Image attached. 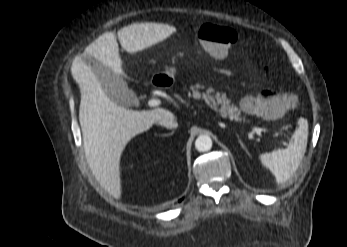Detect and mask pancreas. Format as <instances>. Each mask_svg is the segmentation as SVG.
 Here are the masks:
<instances>
[{
  "mask_svg": "<svg viewBox=\"0 0 347 247\" xmlns=\"http://www.w3.org/2000/svg\"><path fill=\"white\" fill-rule=\"evenodd\" d=\"M202 88L199 85H191L188 92L189 97L195 99L203 98L205 102L215 111L219 112L222 117H229L231 120L236 122L242 121L240 117V110L226 98L225 94L215 92L214 89L208 88L206 92H200Z\"/></svg>",
  "mask_w": 347,
  "mask_h": 247,
  "instance_id": "pancreas-1",
  "label": "pancreas"
}]
</instances>
